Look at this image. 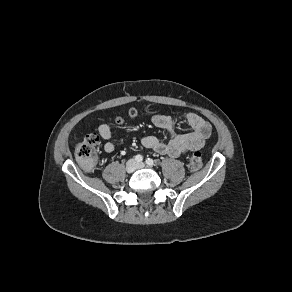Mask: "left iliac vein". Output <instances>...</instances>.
<instances>
[{"instance_id":"4c4485c4","label":"left iliac vein","mask_w":292,"mask_h":292,"mask_svg":"<svg viewBox=\"0 0 292 292\" xmlns=\"http://www.w3.org/2000/svg\"><path fill=\"white\" fill-rule=\"evenodd\" d=\"M145 167V163L141 162L137 164V168H143Z\"/></svg>"}]
</instances>
